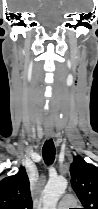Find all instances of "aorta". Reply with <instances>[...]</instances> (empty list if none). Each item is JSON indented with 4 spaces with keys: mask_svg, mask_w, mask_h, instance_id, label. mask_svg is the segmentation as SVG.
Instances as JSON below:
<instances>
[{
    "mask_svg": "<svg viewBox=\"0 0 98 209\" xmlns=\"http://www.w3.org/2000/svg\"><path fill=\"white\" fill-rule=\"evenodd\" d=\"M67 185L68 182L63 177L50 179L43 190V209H56L57 202Z\"/></svg>",
    "mask_w": 98,
    "mask_h": 209,
    "instance_id": "762f6f07",
    "label": "aorta"
}]
</instances>
